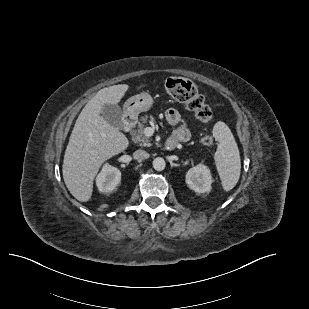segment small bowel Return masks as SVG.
Masks as SVG:
<instances>
[{"mask_svg":"<svg viewBox=\"0 0 309 309\" xmlns=\"http://www.w3.org/2000/svg\"><path fill=\"white\" fill-rule=\"evenodd\" d=\"M165 118L169 124L178 125L177 128L173 131L171 138L177 140L178 142H186L190 139L189 130L184 125H179L181 117L176 109H168L165 113Z\"/></svg>","mask_w":309,"mask_h":309,"instance_id":"obj_1","label":"small bowel"}]
</instances>
